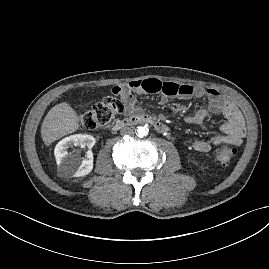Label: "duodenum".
I'll list each match as a JSON object with an SVG mask.
<instances>
[{
    "instance_id": "obj_1",
    "label": "duodenum",
    "mask_w": 269,
    "mask_h": 269,
    "mask_svg": "<svg viewBox=\"0 0 269 269\" xmlns=\"http://www.w3.org/2000/svg\"><path fill=\"white\" fill-rule=\"evenodd\" d=\"M137 124H150L158 132H161V133H165L168 131V127L163 122L146 114H135V115H131L126 118L120 119L114 123L112 129L114 131H118L124 127L133 126Z\"/></svg>"
}]
</instances>
